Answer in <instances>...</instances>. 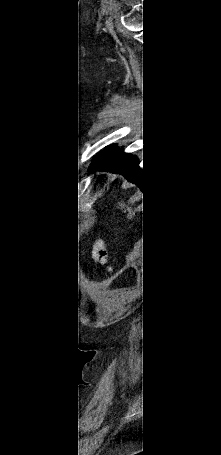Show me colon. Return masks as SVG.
<instances>
[{"mask_svg": "<svg viewBox=\"0 0 221 455\" xmlns=\"http://www.w3.org/2000/svg\"><path fill=\"white\" fill-rule=\"evenodd\" d=\"M91 257L96 263H99L101 265L107 264L108 255L102 239L98 238L95 240L91 250Z\"/></svg>", "mask_w": 221, "mask_h": 455, "instance_id": "1", "label": "colon"}]
</instances>
